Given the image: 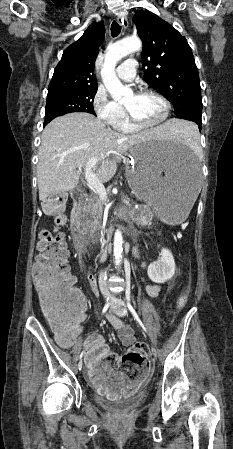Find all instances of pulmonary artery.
Here are the masks:
<instances>
[{"label":"pulmonary artery","mask_w":233,"mask_h":449,"mask_svg":"<svg viewBox=\"0 0 233 449\" xmlns=\"http://www.w3.org/2000/svg\"><path fill=\"white\" fill-rule=\"evenodd\" d=\"M137 62L134 59H126L117 68V76L123 81H132L136 75Z\"/></svg>","instance_id":"pulmonary-artery-1"}]
</instances>
